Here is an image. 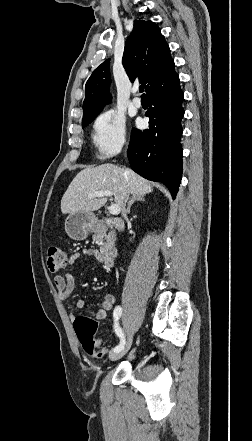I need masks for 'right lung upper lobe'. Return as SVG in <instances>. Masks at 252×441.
Listing matches in <instances>:
<instances>
[{
	"label": "right lung upper lobe",
	"instance_id": "obj_1",
	"mask_svg": "<svg viewBox=\"0 0 252 441\" xmlns=\"http://www.w3.org/2000/svg\"><path fill=\"white\" fill-rule=\"evenodd\" d=\"M172 62L169 46L159 27L150 20H135L122 58L130 80L134 81L138 77L145 84L147 92ZM110 82L108 59L94 70L86 82L82 123L95 118L109 101Z\"/></svg>",
	"mask_w": 252,
	"mask_h": 441
}]
</instances>
